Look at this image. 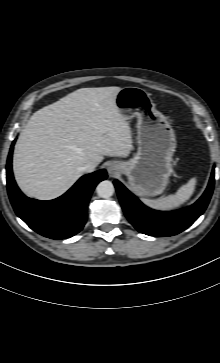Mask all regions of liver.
<instances>
[{"label":"liver","mask_w":220,"mask_h":363,"mask_svg":"<svg viewBox=\"0 0 220 363\" xmlns=\"http://www.w3.org/2000/svg\"><path fill=\"white\" fill-rule=\"evenodd\" d=\"M120 90L81 88L30 117L13 154L14 176L26 195L57 198L83 175L86 162L130 154L131 128L115 103Z\"/></svg>","instance_id":"liver-1"}]
</instances>
